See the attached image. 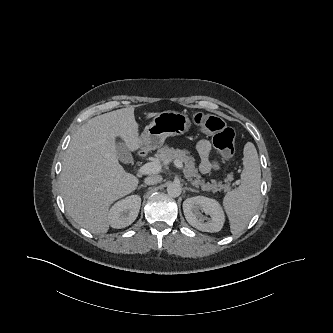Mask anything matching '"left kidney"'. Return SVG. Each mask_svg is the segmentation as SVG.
I'll return each instance as SVG.
<instances>
[{
  "label": "left kidney",
  "instance_id": "left-kidney-1",
  "mask_svg": "<svg viewBox=\"0 0 333 333\" xmlns=\"http://www.w3.org/2000/svg\"><path fill=\"white\" fill-rule=\"evenodd\" d=\"M200 210L209 215L210 219L207 220ZM183 211L188 223L203 232H218L225 221V215L219 202L204 196L187 198L183 202ZM205 220L207 221L205 222Z\"/></svg>",
  "mask_w": 333,
  "mask_h": 333
}]
</instances>
